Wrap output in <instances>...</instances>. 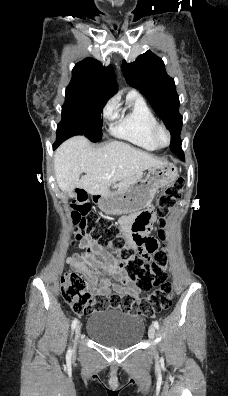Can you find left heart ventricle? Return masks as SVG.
I'll return each instance as SVG.
<instances>
[{"label": "left heart ventricle", "instance_id": "1", "mask_svg": "<svg viewBox=\"0 0 228 396\" xmlns=\"http://www.w3.org/2000/svg\"><path fill=\"white\" fill-rule=\"evenodd\" d=\"M158 142H159L160 144H162V145L166 144L167 138H166V135H165L163 132H160V133L158 134Z\"/></svg>", "mask_w": 228, "mask_h": 396}]
</instances>
